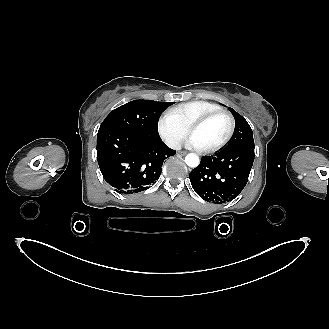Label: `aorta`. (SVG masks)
<instances>
[{"label":"aorta","instance_id":"1","mask_svg":"<svg viewBox=\"0 0 329 329\" xmlns=\"http://www.w3.org/2000/svg\"><path fill=\"white\" fill-rule=\"evenodd\" d=\"M185 163L187 164V166L195 168L199 165L200 159L196 154L189 153L185 157Z\"/></svg>","mask_w":329,"mask_h":329}]
</instances>
